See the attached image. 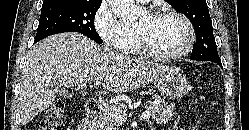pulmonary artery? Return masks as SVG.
Returning <instances> with one entry per match:
<instances>
[{"label": "pulmonary artery", "instance_id": "e3ab8cb5", "mask_svg": "<svg viewBox=\"0 0 249 130\" xmlns=\"http://www.w3.org/2000/svg\"><path fill=\"white\" fill-rule=\"evenodd\" d=\"M137 1H139V2H148L150 0H137Z\"/></svg>", "mask_w": 249, "mask_h": 130}]
</instances>
